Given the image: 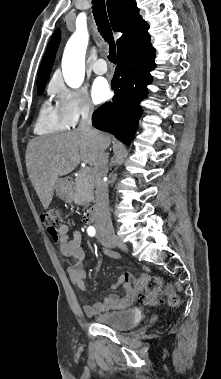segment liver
I'll return each mask as SVG.
<instances>
[{
	"label": "liver",
	"mask_w": 221,
	"mask_h": 379,
	"mask_svg": "<svg viewBox=\"0 0 221 379\" xmlns=\"http://www.w3.org/2000/svg\"><path fill=\"white\" fill-rule=\"evenodd\" d=\"M110 142L103 133L93 135L78 129L33 138L26 149V167L43 208L49 207L60 176L71 173L81 161L94 166Z\"/></svg>",
	"instance_id": "liver-1"
}]
</instances>
